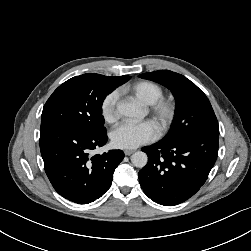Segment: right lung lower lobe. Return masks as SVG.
<instances>
[{
    "label": "right lung lower lobe",
    "mask_w": 251,
    "mask_h": 251,
    "mask_svg": "<svg viewBox=\"0 0 251 251\" xmlns=\"http://www.w3.org/2000/svg\"><path fill=\"white\" fill-rule=\"evenodd\" d=\"M107 139L106 131L85 132L65 125L40 130L45 172L62 197L86 204L100 198L110 188L113 172L124 158L123 151L89 156L91 150L105 145Z\"/></svg>",
    "instance_id": "98d812e1"
}]
</instances>
